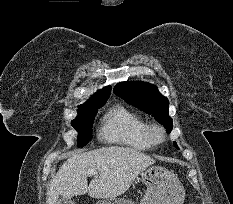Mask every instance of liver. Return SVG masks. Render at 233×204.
Here are the masks:
<instances>
[{"label":"liver","mask_w":233,"mask_h":204,"mask_svg":"<svg viewBox=\"0 0 233 204\" xmlns=\"http://www.w3.org/2000/svg\"><path fill=\"white\" fill-rule=\"evenodd\" d=\"M155 160L144 153L123 146H109L72 154L58 170L47 191L46 204H56L59 196L88 195L112 199L125 193L140 171ZM98 172L88 186L87 172Z\"/></svg>","instance_id":"1"}]
</instances>
